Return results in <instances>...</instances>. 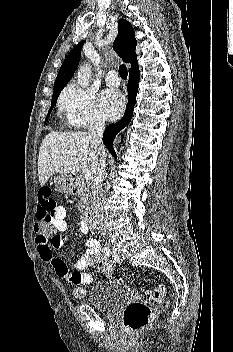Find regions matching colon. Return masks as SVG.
Wrapping results in <instances>:
<instances>
[{"mask_svg": "<svg viewBox=\"0 0 233 352\" xmlns=\"http://www.w3.org/2000/svg\"><path fill=\"white\" fill-rule=\"evenodd\" d=\"M34 230L37 238L43 241H59L60 235L56 233L48 220H37ZM87 266L97 269L106 275L114 271V265L107 258L99 254H92L87 257ZM73 295L77 299L86 297V290L81 282L80 275L72 276ZM165 286L158 285L153 289H146L147 300L134 301L128 304L122 312L124 327L130 332H137L148 326L156 317L160 308L169 306L168 300H164Z\"/></svg>", "mask_w": 233, "mask_h": 352, "instance_id": "obj_1", "label": "colon"}]
</instances>
